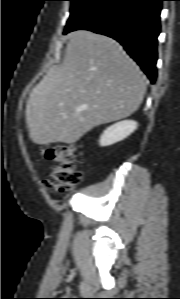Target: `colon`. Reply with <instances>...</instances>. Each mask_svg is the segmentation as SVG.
I'll return each instance as SVG.
<instances>
[{"label": "colon", "mask_w": 180, "mask_h": 299, "mask_svg": "<svg viewBox=\"0 0 180 299\" xmlns=\"http://www.w3.org/2000/svg\"><path fill=\"white\" fill-rule=\"evenodd\" d=\"M42 157L53 161L44 187L48 192L69 191L81 181L82 172L76 164V150L72 144L58 143L44 148Z\"/></svg>", "instance_id": "1"}]
</instances>
